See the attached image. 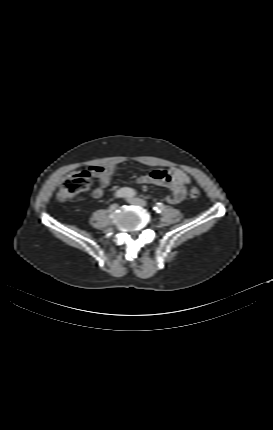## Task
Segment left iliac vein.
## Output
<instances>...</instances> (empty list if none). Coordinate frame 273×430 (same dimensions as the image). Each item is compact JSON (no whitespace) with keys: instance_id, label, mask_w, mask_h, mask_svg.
Here are the masks:
<instances>
[{"instance_id":"4c4485c4","label":"left iliac vein","mask_w":273,"mask_h":430,"mask_svg":"<svg viewBox=\"0 0 273 430\" xmlns=\"http://www.w3.org/2000/svg\"><path fill=\"white\" fill-rule=\"evenodd\" d=\"M127 202L133 205H138V206H142L145 207L147 205L146 201H144L143 199L140 198H129L127 199Z\"/></svg>"}]
</instances>
